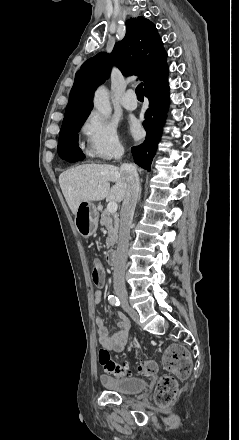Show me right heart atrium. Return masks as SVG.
Returning a JSON list of instances; mask_svg holds the SVG:
<instances>
[{
    "instance_id": "d8ad5b80",
    "label": "right heart atrium",
    "mask_w": 239,
    "mask_h": 440,
    "mask_svg": "<svg viewBox=\"0 0 239 440\" xmlns=\"http://www.w3.org/2000/svg\"><path fill=\"white\" fill-rule=\"evenodd\" d=\"M84 154L92 160H111L122 153V145L115 125L98 112H91L84 120Z\"/></svg>"
}]
</instances>
